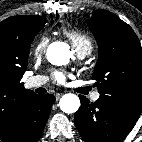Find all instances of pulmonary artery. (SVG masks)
Masks as SVG:
<instances>
[{"instance_id":"pulmonary-artery-1","label":"pulmonary artery","mask_w":142,"mask_h":142,"mask_svg":"<svg viewBox=\"0 0 142 142\" xmlns=\"http://www.w3.org/2000/svg\"><path fill=\"white\" fill-rule=\"evenodd\" d=\"M86 54H79L80 57H84ZM47 81V78L45 76L37 75V76H32L27 79L26 81V87L27 88H37L43 86ZM100 97V94L98 92H95L92 95V99L94 101L98 100Z\"/></svg>"}]
</instances>
